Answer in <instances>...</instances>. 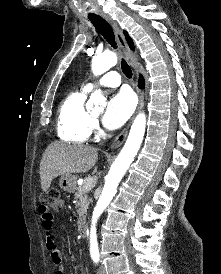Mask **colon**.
<instances>
[{"label": "colon", "mask_w": 221, "mask_h": 274, "mask_svg": "<svg viewBox=\"0 0 221 274\" xmlns=\"http://www.w3.org/2000/svg\"><path fill=\"white\" fill-rule=\"evenodd\" d=\"M41 204L59 210L62 207L63 201L58 190L50 189L41 196Z\"/></svg>", "instance_id": "obj_1"}]
</instances>
